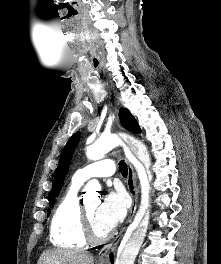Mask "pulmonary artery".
Returning a JSON list of instances; mask_svg holds the SVG:
<instances>
[{
    "mask_svg": "<svg viewBox=\"0 0 221 264\" xmlns=\"http://www.w3.org/2000/svg\"><path fill=\"white\" fill-rule=\"evenodd\" d=\"M116 166L113 160L103 159L78 169L72 180L77 184H83L92 178L110 177L115 173Z\"/></svg>",
    "mask_w": 221,
    "mask_h": 264,
    "instance_id": "obj_1",
    "label": "pulmonary artery"
}]
</instances>
